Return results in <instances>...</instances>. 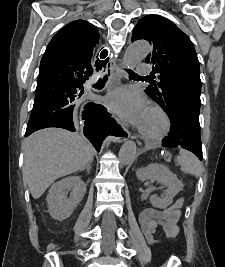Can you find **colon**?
<instances>
[{
    "label": "colon",
    "mask_w": 225,
    "mask_h": 267,
    "mask_svg": "<svg viewBox=\"0 0 225 267\" xmlns=\"http://www.w3.org/2000/svg\"><path fill=\"white\" fill-rule=\"evenodd\" d=\"M183 204H184V200L182 199V200L180 201V203H179L180 208H182Z\"/></svg>",
    "instance_id": "obj_1"
}]
</instances>
